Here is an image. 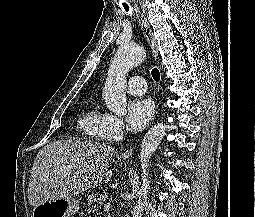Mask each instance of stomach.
I'll use <instances>...</instances> for the list:
<instances>
[{
	"instance_id": "stomach-1",
	"label": "stomach",
	"mask_w": 255,
	"mask_h": 217,
	"mask_svg": "<svg viewBox=\"0 0 255 217\" xmlns=\"http://www.w3.org/2000/svg\"><path fill=\"white\" fill-rule=\"evenodd\" d=\"M78 210V200L72 197L57 198L35 206L32 217H71Z\"/></svg>"
}]
</instances>
